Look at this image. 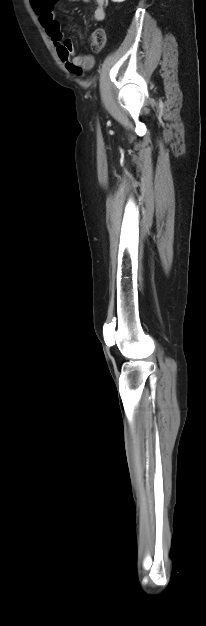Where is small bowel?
<instances>
[{"label":"small bowel","mask_w":206,"mask_h":626,"mask_svg":"<svg viewBox=\"0 0 206 626\" xmlns=\"http://www.w3.org/2000/svg\"><path fill=\"white\" fill-rule=\"evenodd\" d=\"M83 1L90 2L91 0ZM94 1L96 7L93 12V17L96 21H104L106 17V0ZM31 4L38 14L42 27L51 39L66 69L76 75H81L83 71L91 69L94 64V58L89 54H76L71 40L63 35L60 23L55 18L53 12L54 0H31Z\"/></svg>","instance_id":"obj_1"}]
</instances>
